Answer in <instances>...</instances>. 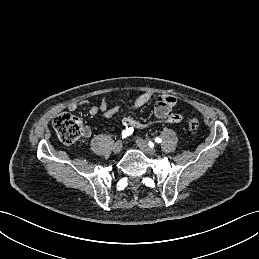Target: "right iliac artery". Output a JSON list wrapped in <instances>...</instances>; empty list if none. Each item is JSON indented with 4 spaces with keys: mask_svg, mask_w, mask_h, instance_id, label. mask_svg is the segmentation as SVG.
Listing matches in <instances>:
<instances>
[{
    "mask_svg": "<svg viewBox=\"0 0 259 259\" xmlns=\"http://www.w3.org/2000/svg\"><path fill=\"white\" fill-rule=\"evenodd\" d=\"M133 133V128L131 127H126L123 131H122V138H126L127 136L131 135Z\"/></svg>",
    "mask_w": 259,
    "mask_h": 259,
    "instance_id": "82829eb1",
    "label": "right iliac artery"
}]
</instances>
